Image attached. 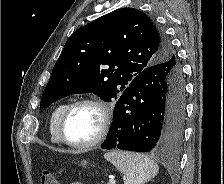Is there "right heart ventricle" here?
<instances>
[{
    "instance_id": "e07e8e85",
    "label": "right heart ventricle",
    "mask_w": 224,
    "mask_h": 184,
    "mask_svg": "<svg viewBox=\"0 0 224 184\" xmlns=\"http://www.w3.org/2000/svg\"><path fill=\"white\" fill-rule=\"evenodd\" d=\"M67 106V103H61L58 106L54 108V110L51 113L50 119H49V133L51 141L55 144L61 143L59 132H58V124L60 117L62 113L64 112L65 108Z\"/></svg>"
}]
</instances>
